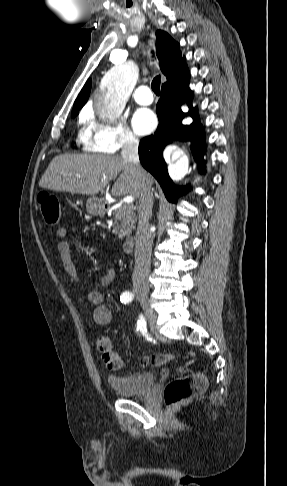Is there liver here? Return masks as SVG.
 Masks as SVG:
<instances>
[{"instance_id": "6515ba94", "label": "liver", "mask_w": 287, "mask_h": 486, "mask_svg": "<svg viewBox=\"0 0 287 486\" xmlns=\"http://www.w3.org/2000/svg\"><path fill=\"white\" fill-rule=\"evenodd\" d=\"M119 175L111 193L114 196L131 195L138 198L141 182L135 166L121 156L62 154L53 158L39 181V186L53 191L95 195ZM146 182L153 181L146 173Z\"/></svg>"}]
</instances>
